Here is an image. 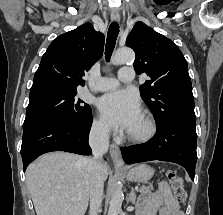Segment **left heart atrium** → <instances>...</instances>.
<instances>
[{"mask_svg": "<svg viewBox=\"0 0 223 215\" xmlns=\"http://www.w3.org/2000/svg\"><path fill=\"white\" fill-rule=\"evenodd\" d=\"M104 121L115 128L129 129L140 115L139 97L133 90L107 93L97 100Z\"/></svg>", "mask_w": 223, "mask_h": 215, "instance_id": "1", "label": "left heart atrium"}]
</instances>
